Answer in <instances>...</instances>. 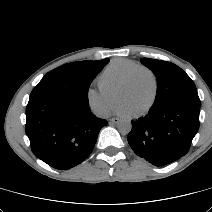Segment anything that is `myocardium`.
I'll list each match as a JSON object with an SVG mask.
<instances>
[{"label": "myocardium", "instance_id": "obj_1", "mask_svg": "<svg viewBox=\"0 0 212 212\" xmlns=\"http://www.w3.org/2000/svg\"><path fill=\"white\" fill-rule=\"evenodd\" d=\"M142 73L147 74L149 76V78L151 79L152 93H151V97H150L148 103L142 109L133 113L135 117H141V116L147 114L152 109V107L154 106V104L156 102V99L158 96V89H159L158 79H157L156 74L151 69L144 67V66H140V67L136 68L128 76V78L123 83V85L121 86L119 93H118V98H120L121 94L124 91H126L128 88H130L133 85V83L135 82L136 77Z\"/></svg>", "mask_w": 212, "mask_h": 212}]
</instances>
